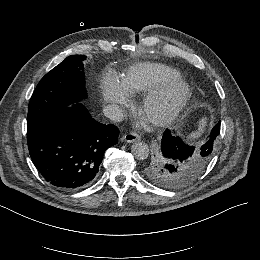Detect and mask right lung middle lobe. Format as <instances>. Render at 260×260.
<instances>
[{"label":"right lung middle lobe","instance_id":"1","mask_svg":"<svg viewBox=\"0 0 260 260\" xmlns=\"http://www.w3.org/2000/svg\"><path fill=\"white\" fill-rule=\"evenodd\" d=\"M84 55H72L47 73L37 85L28 107L27 132L49 122L65 111L69 104L86 98L82 61Z\"/></svg>","mask_w":260,"mask_h":260}]
</instances>
